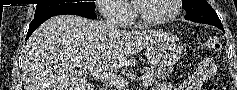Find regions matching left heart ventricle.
Masks as SVG:
<instances>
[{"mask_svg": "<svg viewBox=\"0 0 237 90\" xmlns=\"http://www.w3.org/2000/svg\"><path fill=\"white\" fill-rule=\"evenodd\" d=\"M136 7L140 16L153 20L169 13L171 4L170 0H146L136 1Z\"/></svg>", "mask_w": 237, "mask_h": 90, "instance_id": "left-heart-ventricle-1", "label": "left heart ventricle"}]
</instances>
